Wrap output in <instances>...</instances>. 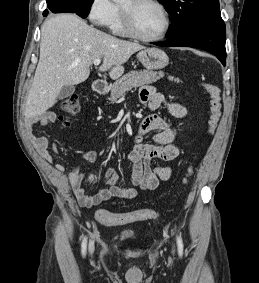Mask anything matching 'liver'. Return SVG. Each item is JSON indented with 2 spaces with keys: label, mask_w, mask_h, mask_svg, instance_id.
<instances>
[{
  "label": "liver",
  "mask_w": 259,
  "mask_h": 283,
  "mask_svg": "<svg viewBox=\"0 0 259 283\" xmlns=\"http://www.w3.org/2000/svg\"><path fill=\"white\" fill-rule=\"evenodd\" d=\"M145 47L108 35L74 14H58L41 27L40 58L30 89L25 117L35 118L51 108L64 86L84 82L95 59L103 58L100 71L117 79L123 64Z\"/></svg>",
  "instance_id": "obj_1"
}]
</instances>
